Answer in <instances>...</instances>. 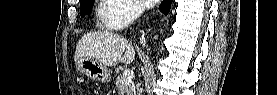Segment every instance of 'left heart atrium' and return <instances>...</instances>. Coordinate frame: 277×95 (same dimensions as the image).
Returning <instances> with one entry per match:
<instances>
[{
  "instance_id": "obj_1",
  "label": "left heart atrium",
  "mask_w": 277,
  "mask_h": 95,
  "mask_svg": "<svg viewBox=\"0 0 277 95\" xmlns=\"http://www.w3.org/2000/svg\"><path fill=\"white\" fill-rule=\"evenodd\" d=\"M138 2L144 7H153L156 3V0H138Z\"/></svg>"
}]
</instances>
